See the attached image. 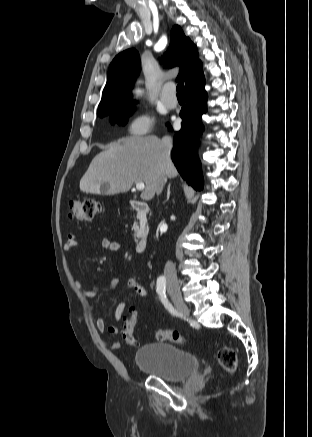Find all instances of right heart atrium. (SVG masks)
Wrapping results in <instances>:
<instances>
[{
	"label": "right heart atrium",
	"instance_id": "d8ad5b80",
	"mask_svg": "<svg viewBox=\"0 0 312 437\" xmlns=\"http://www.w3.org/2000/svg\"><path fill=\"white\" fill-rule=\"evenodd\" d=\"M153 126L152 118L147 114L133 117L128 124V133L133 136H142L149 133Z\"/></svg>",
	"mask_w": 312,
	"mask_h": 437
}]
</instances>
